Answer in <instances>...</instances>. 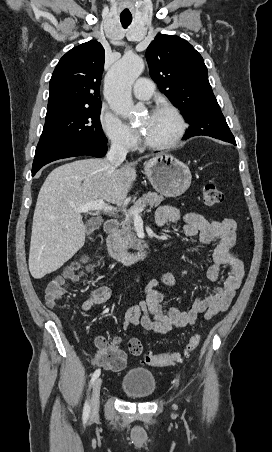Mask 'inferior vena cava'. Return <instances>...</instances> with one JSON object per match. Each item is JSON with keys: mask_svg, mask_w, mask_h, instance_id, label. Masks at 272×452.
Masks as SVG:
<instances>
[{"mask_svg": "<svg viewBox=\"0 0 272 452\" xmlns=\"http://www.w3.org/2000/svg\"><path fill=\"white\" fill-rule=\"evenodd\" d=\"M127 148L118 141H112L107 160L112 166H119L126 158Z\"/></svg>", "mask_w": 272, "mask_h": 452, "instance_id": "602c4592", "label": "inferior vena cava"}]
</instances>
